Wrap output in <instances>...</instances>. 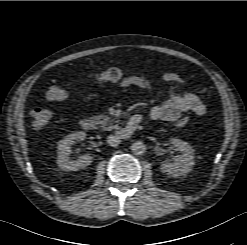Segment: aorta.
Returning a JSON list of instances; mask_svg holds the SVG:
<instances>
[{
    "label": "aorta",
    "mask_w": 247,
    "mask_h": 245,
    "mask_svg": "<svg viewBox=\"0 0 247 245\" xmlns=\"http://www.w3.org/2000/svg\"><path fill=\"white\" fill-rule=\"evenodd\" d=\"M131 151L135 155H142L146 152V146L141 141H135L131 145Z\"/></svg>",
    "instance_id": "762f6f07"
}]
</instances>
